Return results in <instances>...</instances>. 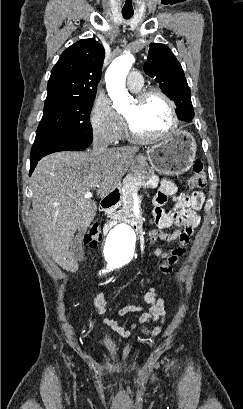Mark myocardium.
Here are the masks:
<instances>
[{"instance_id":"1","label":"myocardium","mask_w":243,"mask_h":409,"mask_svg":"<svg viewBox=\"0 0 243 409\" xmlns=\"http://www.w3.org/2000/svg\"><path fill=\"white\" fill-rule=\"evenodd\" d=\"M151 96H158L167 104L168 109H169L171 124L168 127V129H166L165 131L159 134L145 135V134L138 132L134 128L132 122L126 116H123L126 131L130 139H132L135 142L147 143V142L157 141L171 134L172 132H174L179 125V118H178V114L176 111L175 102L162 90L158 88H147V89L141 90L135 94L134 100L137 104H141Z\"/></svg>"}]
</instances>
